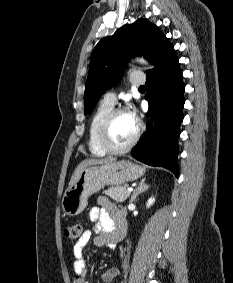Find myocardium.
<instances>
[{
  "mask_svg": "<svg viewBox=\"0 0 233 283\" xmlns=\"http://www.w3.org/2000/svg\"><path fill=\"white\" fill-rule=\"evenodd\" d=\"M128 112L124 107L113 108L103 120L99 133L98 141L101 148L109 154H122L129 151L138 141L141 134V124L136 121V131L132 139L123 147H114L109 142V131L114 119L121 113Z\"/></svg>",
  "mask_w": 233,
  "mask_h": 283,
  "instance_id": "1",
  "label": "myocardium"
}]
</instances>
